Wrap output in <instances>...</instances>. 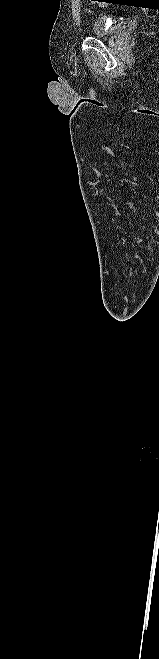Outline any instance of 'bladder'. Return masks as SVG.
Here are the masks:
<instances>
[{"label":"bladder","instance_id":"obj_1","mask_svg":"<svg viewBox=\"0 0 159 659\" xmlns=\"http://www.w3.org/2000/svg\"><path fill=\"white\" fill-rule=\"evenodd\" d=\"M117 27H108L107 22L97 18L91 26V34L96 38H108L115 34Z\"/></svg>","mask_w":159,"mask_h":659}]
</instances>
